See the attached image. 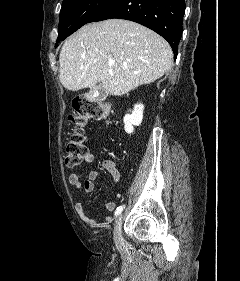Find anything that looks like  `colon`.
Returning <instances> with one entry per match:
<instances>
[{
    "instance_id": "5ec220e1",
    "label": "colon",
    "mask_w": 240,
    "mask_h": 281,
    "mask_svg": "<svg viewBox=\"0 0 240 281\" xmlns=\"http://www.w3.org/2000/svg\"><path fill=\"white\" fill-rule=\"evenodd\" d=\"M111 106L102 100L76 98L72 102L69 120L74 124L65 146V162L69 167L79 166L88 154L85 144L84 126L88 120H107Z\"/></svg>"
}]
</instances>
